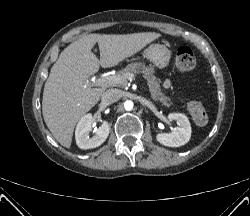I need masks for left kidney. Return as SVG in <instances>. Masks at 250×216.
I'll return each instance as SVG.
<instances>
[{
  "label": "left kidney",
  "instance_id": "5707ae66",
  "mask_svg": "<svg viewBox=\"0 0 250 216\" xmlns=\"http://www.w3.org/2000/svg\"><path fill=\"white\" fill-rule=\"evenodd\" d=\"M168 119L176 121L178 126L171 133H158L157 141L168 147H180L189 142L192 131L187 116L182 113H170Z\"/></svg>",
  "mask_w": 250,
  "mask_h": 216
}]
</instances>
